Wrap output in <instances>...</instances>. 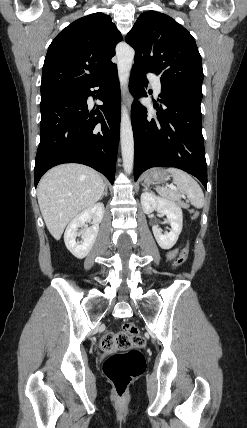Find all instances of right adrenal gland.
<instances>
[{"label":"right adrenal gland","mask_w":247,"mask_h":428,"mask_svg":"<svg viewBox=\"0 0 247 428\" xmlns=\"http://www.w3.org/2000/svg\"><path fill=\"white\" fill-rule=\"evenodd\" d=\"M107 194H108V189H107V186L105 185V186H104V192H103V194H102V196H101V199H102L104 196H107Z\"/></svg>","instance_id":"2a0ac1e0"}]
</instances>
